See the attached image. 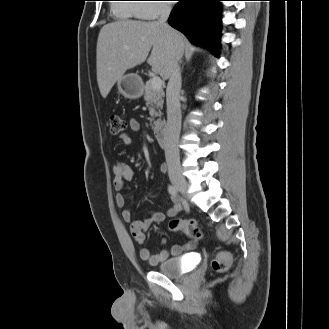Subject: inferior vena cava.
Wrapping results in <instances>:
<instances>
[{
  "mask_svg": "<svg viewBox=\"0 0 329 329\" xmlns=\"http://www.w3.org/2000/svg\"><path fill=\"white\" fill-rule=\"evenodd\" d=\"M170 12V5L163 4L161 6L157 23L166 29H170L167 23ZM180 90L181 72L178 62H175L166 89L167 127L165 136V156L168 174L171 179L180 177L181 175L180 157L177 148L181 130Z\"/></svg>",
  "mask_w": 329,
  "mask_h": 329,
  "instance_id": "obj_1",
  "label": "inferior vena cava"
}]
</instances>
